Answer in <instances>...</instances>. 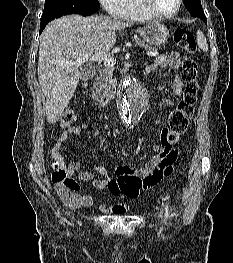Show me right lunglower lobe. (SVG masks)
Returning a JSON list of instances; mask_svg holds the SVG:
<instances>
[{"instance_id":"98d812e1","label":"right lung lower lobe","mask_w":233,"mask_h":263,"mask_svg":"<svg viewBox=\"0 0 233 263\" xmlns=\"http://www.w3.org/2000/svg\"><path fill=\"white\" fill-rule=\"evenodd\" d=\"M93 13H94V12L86 11V10L81 9L78 14H81V15H83V16H87V15H91V14H93ZM47 24H48V22H43V21H41L40 33L43 31V29L45 28V26H46Z\"/></svg>"}]
</instances>
